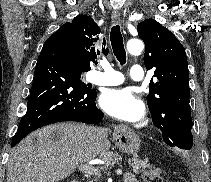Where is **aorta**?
Listing matches in <instances>:
<instances>
[{"instance_id": "762f6f07", "label": "aorta", "mask_w": 211, "mask_h": 182, "mask_svg": "<svg viewBox=\"0 0 211 182\" xmlns=\"http://www.w3.org/2000/svg\"><path fill=\"white\" fill-rule=\"evenodd\" d=\"M144 44L140 39H130L127 42V50L130 54H139L143 51Z\"/></svg>"}]
</instances>
